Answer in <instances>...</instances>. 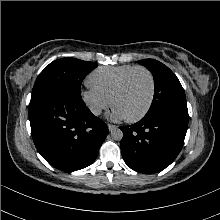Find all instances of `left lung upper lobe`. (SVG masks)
<instances>
[{"label":"left lung upper lobe","mask_w":220,"mask_h":220,"mask_svg":"<svg viewBox=\"0 0 220 220\" xmlns=\"http://www.w3.org/2000/svg\"><path fill=\"white\" fill-rule=\"evenodd\" d=\"M138 63L152 72L155 83L152 105L144 118L157 114H171L188 121L184 89L176 75L163 63L154 59H143Z\"/></svg>","instance_id":"left-lung-upper-lobe-1"}]
</instances>
